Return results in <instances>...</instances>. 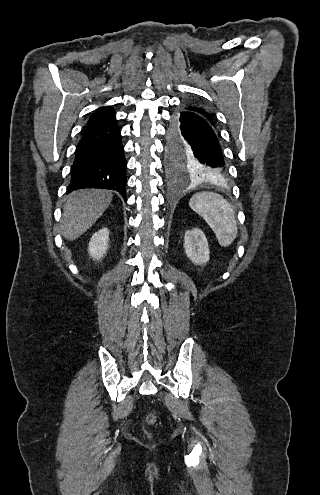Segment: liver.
<instances>
[{"instance_id":"1","label":"liver","mask_w":320,"mask_h":495,"mask_svg":"<svg viewBox=\"0 0 320 495\" xmlns=\"http://www.w3.org/2000/svg\"><path fill=\"white\" fill-rule=\"evenodd\" d=\"M110 191L79 189L66 200L61 219V233L67 240L83 235L106 211L112 201Z\"/></svg>"}]
</instances>
